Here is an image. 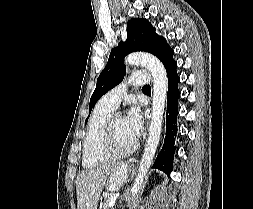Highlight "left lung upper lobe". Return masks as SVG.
<instances>
[{"label":"left lung upper lobe","instance_id":"left-lung-upper-lobe-1","mask_svg":"<svg viewBox=\"0 0 253 209\" xmlns=\"http://www.w3.org/2000/svg\"><path fill=\"white\" fill-rule=\"evenodd\" d=\"M134 51L149 52L160 59L165 68L174 61V51L164 37L155 33L148 20L132 18L127 23V39L112 49L108 62L97 79L96 88L90 98V112L99 98L117 86L124 78V57ZM87 122V120H86Z\"/></svg>","mask_w":253,"mask_h":209}]
</instances>
